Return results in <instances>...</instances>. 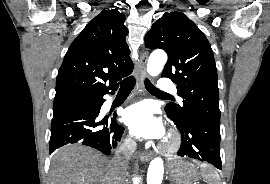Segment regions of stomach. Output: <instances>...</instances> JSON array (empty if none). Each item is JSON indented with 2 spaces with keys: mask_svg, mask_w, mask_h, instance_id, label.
<instances>
[{
  "mask_svg": "<svg viewBox=\"0 0 270 184\" xmlns=\"http://www.w3.org/2000/svg\"><path fill=\"white\" fill-rule=\"evenodd\" d=\"M168 176L174 184H195L200 173L196 166L190 162L172 160L168 165Z\"/></svg>",
  "mask_w": 270,
  "mask_h": 184,
  "instance_id": "stomach-1",
  "label": "stomach"
}]
</instances>
